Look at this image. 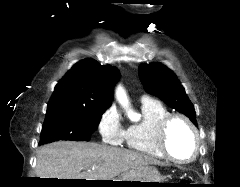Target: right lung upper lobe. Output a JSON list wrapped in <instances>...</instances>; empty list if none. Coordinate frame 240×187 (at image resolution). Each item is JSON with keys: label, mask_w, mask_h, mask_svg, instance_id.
<instances>
[{"label": "right lung upper lobe", "mask_w": 240, "mask_h": 187, "mask_svg": "<svg viewBox=\"0 0 240 187\" xmlns=\"http://www.w3.org/2000/svg\"><path fill=\"white\" fill-rule=\"evenodd\" d=\"M118 79L117 68L91 58L81 60L55 86L47 108L72 105L107 109Z\"/></svg>", "instance_id": "cb5924a9"}]
</instances>
